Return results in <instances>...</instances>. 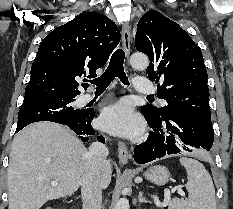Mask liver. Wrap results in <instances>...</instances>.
<instances>
[{"instance_id":"obj_1","label":"liver","mask_w":233,"mask_h":209,"mask_svg":"<svg viewBox=\"0 0 233 209\" xmlns=\"http://www.w3.org/2000/svg\"><path fill=\"white\" fill-rule=\"evenodd\" d=\"M84 144L67 128L34 123L13 139L8 167L9 209H40L47 201L74 194L86 168ZM112 167L101 168V188L109 186ZM57 181L56 186L51 182Z\"/></svg>"}]
</instances>
